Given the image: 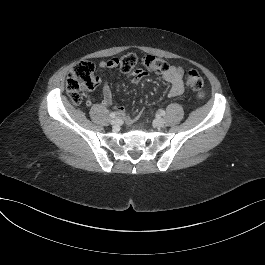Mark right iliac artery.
I'll return each instance as SVG.
<instances>
[{
	"label": "right iliac artery",
	"mask_w": 265,
	"mask_h": 265,
	"mask_svg": "<svg viewBox=\"0 0 265 265\" xmlns=\"http://www.w3.org/2000/svg\"><path fill=\"white\" fill-rule=\"evenodd\" d=\"M110 117H111V118H115V113H114V112H111V113H110Z\"/></svg>",
	"instance_id": "82829eb1"
}]
</instances>
